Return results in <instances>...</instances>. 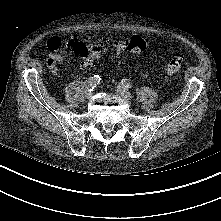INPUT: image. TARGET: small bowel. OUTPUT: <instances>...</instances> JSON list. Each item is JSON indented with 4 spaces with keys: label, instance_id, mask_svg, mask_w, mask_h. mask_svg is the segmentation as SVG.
I'll use <instances>...</instances> for the list:
<instances>
[{
    "label": "small bowel",
    "instance_id": "obj_1",
    "mask_svg": "<svg viewBox=\"0 0 221 221\" xmlns=\"http://www.w3.org/2000/svg\"><path fill=\"white\" fill-rule=\"evenodd\" d=\"M47 47L51 51L47 59V66L54 73L57 72L58 66L63 65L65 62V57L58 51L68 49L72 53L81 57L82 51L89 48L84 43L73 39L67 41L65 45H62L56 37H52L47 41Z\"/></svg>",
    "mask_w": 221,
    "mask_h": 221
}]
</instances>
